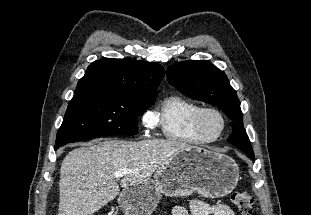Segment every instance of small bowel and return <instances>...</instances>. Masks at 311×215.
Listing matches in <instances>:
<instances>
[{
	"label": "small bowel",
	"mask_w": 311,
	"mask_h": 215,
	"mask_svg": "<svg viewBox=\"0 0 311 215\" xmlns=\"http://www.w3.org/2000/svg\"><path fill=\"white\" fill-rule=\"evenodd\" d=\"M172 215H237L225 204L209 205L201 200H192L190 211L183 206H176Z\"/></svg>",
	"instance_id": "obj_1"
}]
</instances>
